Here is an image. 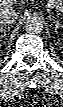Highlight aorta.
<instances>
[{"label": "aorta", "mask_w": 63, "mask_h": 107, "mask_svg": "<svg viewBox=\"0 0 63 107\" xmlns=\"http://www.w3.org/2000/svg\"><path fill=\"white\" fill-rule=\"evenodd\" d=\"M24 28L27 33L38 34L43 29V23L39 17L30 16L26 19Z\"/></svg>", "instance_id": "obj_1"}]
</instances>
